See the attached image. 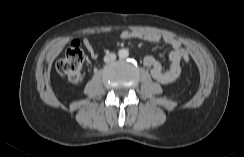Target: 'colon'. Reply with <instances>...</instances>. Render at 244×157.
<instances>
[{"mask_svg": "<svg viewBox=\"0 0 244 157\" xmlns=\"http://www.w3.org/2000/svg\"><path fill=\"white\" fill-rule=\"evenodd\" d=\"M182 59L185 63H188L190 61V55L185 51L182 55ZM84 60L85 57L80 48V44L75 42L67 49L65 56L57 62V71L69 81L78 83L82 81L84 77Z\"/></svg>", "mask_w": 244, "mask_h": 157, "instance_id": "1", "label": "colon"}]
</instances>
